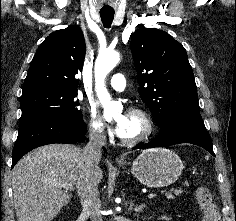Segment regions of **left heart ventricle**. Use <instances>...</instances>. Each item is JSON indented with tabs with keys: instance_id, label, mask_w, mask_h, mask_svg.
<instances>
[{
	"instance_id": "1",
	"label": "left heart ventricle",
	"mask_w": 236,
	"mask_h": 221,
	"mask_svg": "<svg viewBox=\"0 0 236 221\" xmlns=\"http://www.w3.org/2000/svg\"><path fill=\"white\" fill-rule=\"evenodd\" d=\"M144 131V122L143 120L133 114H128V121L126 129L122 137L124 138H134L142 134Z\"/></svg>"
}]
</instances>
